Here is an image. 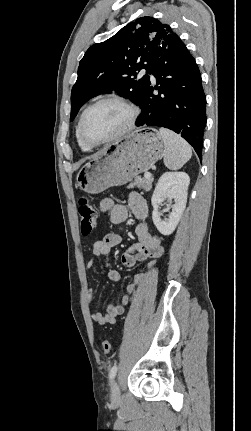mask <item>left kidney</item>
Segmentation results:
<instances>
[{
    "instance_id": "5707ae66",
    "label": "left kidney",
    "mask_w": 251,
    "mask_h": 431,
    "mask_svg": "<svg viewBox=\"0 0 251 431\" xmlns=\"http://www.w3.org/2000/svg\"><path fill=\"white\" fill-rule=\"evenodd\" d=\"M190 177L185 172H165L159 178L152 195L153 214L152 220L158 231L168 236L176 229L187 203V191ZM167 199L174 200L168 219L160 218L158 207Z\"/></svg>"
}]
</instances>
